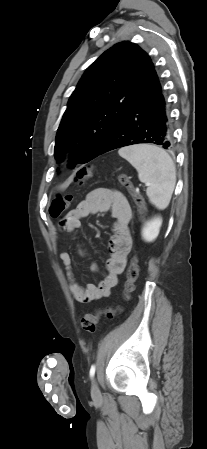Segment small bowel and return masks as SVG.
I'll use <instances>...</instances> for the list:
<instances>
[{
    "mask_svg": "<svg viewBox=\"0 0 207 449\" xmlns=\"http://www.w3.org/2000/svg\"><path fill=\"white\" fill-rule=\"evenodd\" d=\"M109 210L113 217V233L109 242V257L106 261L105 271L97 284L82 287L74 274L70 254L67 252L60 253V260L65 267L69 280V289L76 300L82 303H88L109 295L111 289L117 285L132 248L130 233L132 209L125 196L119 191L110 188H98L88 193L60 223L64 232L75 235L85 217L92 213ZM77 250L80 256H84L85 251L80 244Z\"/></svg>",
    "mask_w": 207,
    "mask_h": 449,
    "instance_id": "obj_1",
    "label": "small bowel"
}]
</instances>
